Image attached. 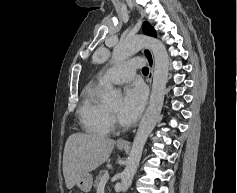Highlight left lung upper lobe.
<instances>
[{
	"instance_id": "5c2ea615",
	"label": "left lung upper lobe",
	"mask_w": 237,
	"mask_h": 193,
	"mask_svg": "<svg viewBox=\"0 0 237 193\" xmlns=\"http://www.w3.org/2000/svg\"><path fill=\"white\" fill-rule=\"evenodd\" d=\"M143 31L147 35H150V36H153V37L157 36L154 28L148 22H145L143 24Z\"/></svg>"
}]
</instances>
